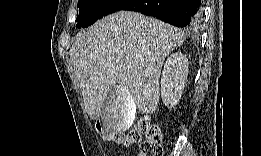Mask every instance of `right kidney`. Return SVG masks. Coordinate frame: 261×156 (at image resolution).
I'll use <instances>...</instances> for the list:
<instances>
[{"label":"right kidney","mask_w":261,"mask_h":156,"mask_svg":"<svg viewBox=\"0 0 261 156\" xmlns=\"http://www.w3.org/2000/svg\"><path fill=\"white\" fill-rule=\"evenodd\" d=\"M188 76V59L175 52L165 62L161 76V98L165 106L173 107L181 98Z\"/></svg>","instance_id":"right-kidney-1"}]
</instances>
